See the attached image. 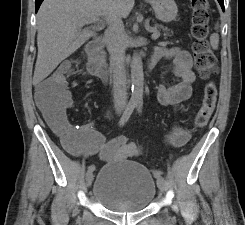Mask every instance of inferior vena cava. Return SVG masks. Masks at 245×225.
<instances>
[{"mask_svg":"<svg viewBox=\"0 0 245 225\" xmlns=\"http://www.w3.org/2000/svg\"><path fill=\"white\" fill-rule=\"evenodd\" d=\"M108 25L104 33V41L110 55V66L113 72L114 106L119 109L127 102L124 25L121 17L118 16L111 17Z\"/></svg>","mask_w":245,"mask_h":225,"instance_id":"obj_1","label":"inferior vena cava"}]
</instances>
